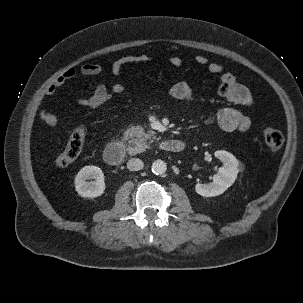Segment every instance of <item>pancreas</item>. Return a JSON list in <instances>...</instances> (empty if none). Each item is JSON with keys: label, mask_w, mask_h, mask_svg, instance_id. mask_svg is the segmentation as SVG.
<instances>
[{"label": "pancreas", "mask_w": 303, "mask_h": 303, "mask_svg": "<svg viewBox=\"0 0 303 303\" xmlns=\"http://www.w3.org/2000/svg\"><path fill=\"white\" fill-rule=\"evenodd\" d=\"M155 132L145 131L141 126H132L124 132V139L129 140L128 152L132 155L140 153L149 147L155 139Z\"/></svg>", "instance_id": "pancreas-1"}]
</instances>
